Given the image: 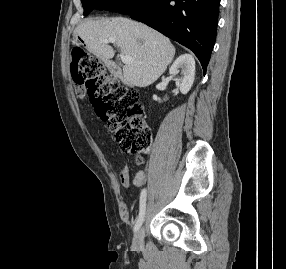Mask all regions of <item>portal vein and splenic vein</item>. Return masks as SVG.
I'll return each mask as SVG.
<instances>
[{
    "label": "portal vein and splenic vein",
    "mask_w": 286,
    "mask_h": 269,
    "mask_svg": "<svg viewBox=\"0 0 286 269\" xmlns=\"http://www.w3.org/2000/svg\"><path fill=\"white\" fill-rule=\"evenodd\" d=\"M105 43H115V39L109 38L104 40ZM121 60L124 64H129L133 61V58L129 55H125L124 53H121L120 55Z\"/></svg>",
    "instance_id": "1"
}]
</instances>
